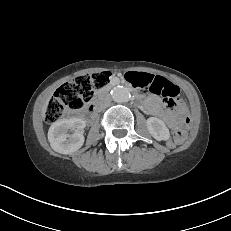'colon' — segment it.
Instances as JSON below:
<instances>
[{"label":"colon","mask_w":231,"mask_h":231,"mask_svg":"<svg viewBox=\"0 0 231 231\" xmlns=\"http://www.w3.org/2000/svg\"><path fill=\"white\" fill-rule=\"evenodd\" d=\"M110 77V72L102 71L79 76L72 81L64 83L58 88L56 94L49 102L45 112V120L53 123L59 120L68 110L76 111L82 109L93 99L98 91L108 85ZM132 77L135 80L140 79L138 75ZM177 93L175 86H168L164 90L163 95L172 100L177 96ZM187 124V118L181 115L174 129V138L171 145H175L185 139Z\"/></svg>","instance_id":"5ec220e1"}]
</instances>
